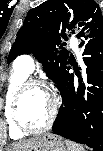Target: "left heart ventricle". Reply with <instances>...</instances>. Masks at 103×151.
<instances>
[{
	"label": "left heart ventricle",
	"mask_w": 103,
	"mask_h": 151,
	"mask_svg": "<svg viewBox=\"0 0 103 151\" xmlns=\"http://www.w3.org/2000/svg\"><path fill=\"white\" fill-rule=\"evenodd\" d=\"M50 101L47 93L39 87L29 89L19 104V119L30 128L43 126L49 116Z\"/></svg>",
	"instance_id": "left-heart-ventricle-1"
}]
</instances>
